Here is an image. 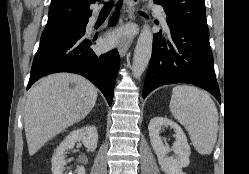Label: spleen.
I'll use <instances>...</instances> for the list:
<instances>
[{"instance_id":"3e777b00","label":"spleen","mask_w":249,"mask_h":174,"mask_svg":"<svg viewBox=\"0 0 249 174\" xmlns=\"http://www.w3.org/2000/svg\"><path fill=\"white\" fill-rule=\"evenodd\" d=\"M169 107L189 133L196 151L210 155L217 140L218 111L208 93L194 86L178 85L173 88Z\"/></svg>"}]
</instances>
